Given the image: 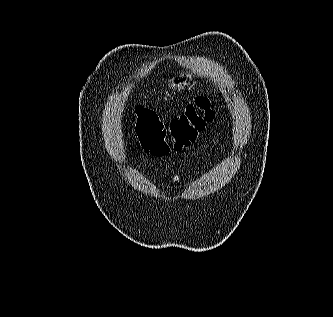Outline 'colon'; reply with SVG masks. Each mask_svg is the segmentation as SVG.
<instances>
[{
    "label": "colon",
    "instance_id": "obj_1",
    "mask_svg": "<svg viewBox=\"0 0 333 317\" xmlns=\"http://www.w3.org/2000/svg\"><path fill=\"white\" fill-rule=\"evenodd\" d=\"M135 113L139 143L145 151L156 157L166 156L172 150L189 147L215 118V110L206 96H198L187 104L182 113L170 120L167 127L150 108L136 106Z\"/></svg>",
    "mask_w": 333,
    "mask_h": 317
}]
</instances>
